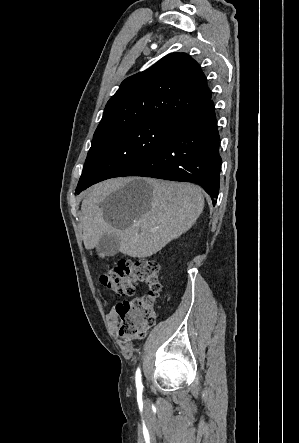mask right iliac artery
<instances>
[{
	"instance_id": "right-iliac-artery-1",
	"label": "right iliac artery",
	"mask_w": 299,
	"mask_h": 443,
	"mask_svg": "<svg viewBox=\"0 0 299 443\" xmlns=\"http://www.w3.org/2000/svg\"><path fill=\"white\" fill-rule=\"evenodd\" d=\"M135 382H136V388H137L138 393H141L143 390V385L141 382V372H140L139 368L136 371Z\"/></svg>"
}]
</instances>
